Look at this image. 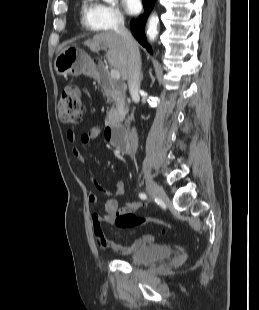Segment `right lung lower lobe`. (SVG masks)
Here are the masks:
<instances>
[{
	"label": "right lung lower lobe",
	"instance_id": "right-lung-lower-lobe-1",
	"mask_svg": "<svg viewBox=\"0 0 259 310\" xmlns=\"http://www.w3.org/2000/svg\"><path fill=\"white\" fill-rule=\"evenodd\" d=\"M155 0H143V6L145 9L144 15H141L136 20H132L130 27L133 35L137 41L142 44L149 52L152 53L151 46L147 43L145 37L144 28L148 15L150 14L152 8L154 7Z\"/></svg>",
	"mask_w": 259,
	"mask_h": 310
}]
</instances>
